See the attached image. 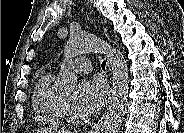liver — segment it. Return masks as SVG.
Listing matches in <instances>:
<instances>
[{
    "mask_svg": "<svg viewBox=\"0 0 184 133\" xmlns=\"http://www.w3.org/2000/svg\"><path fill=\"white\" fill-rule=\"evenodd\" d=\"M35 133H68L67 130H57V129H38Z\"/></svg>",
    "mask_w": 184,
    "mask_h": 133,
    "instance_id": "1",
    "label": "liver"
}]
</instances>
